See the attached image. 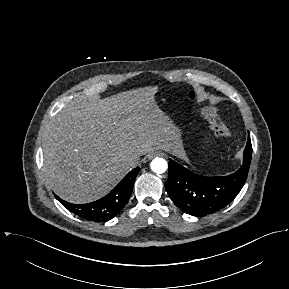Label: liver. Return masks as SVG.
<instances>
[{
  "mask_svg": "<svg viewBox=\"0 0 289 289\" xmlns=\"http://www.w3.org/2000/svg\"><path fill=\"white\" fill-rule=\"evenodd\" d=\"M157 87L102 100H77L43 132L45 173L55 193L76 204L106 195L137 161L157 149L177 154L180 135L157 106Z\"/></svg>",
  "mask_w": 289,
  "mask_h": 289,
  "instance_id": "obj_1",
  "label": "liver"
}]
</instances>
